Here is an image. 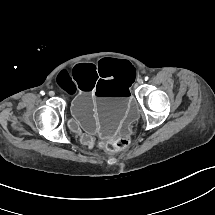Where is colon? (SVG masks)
<instances>
[{"mask_svg": "<svg viewBox=\"0 0 215 215\" xmlns=\"http://www.w3.org/2000/svg\"><path fill=\"white\" fill-rule=\"evenodd\" d=\"M128 141L124 138H114L108 141H101L100 147L107 151H118L128 146Z\"/></svg>", "mask_w": 215, "mask_h": 215, "instance_id": "obj_1", "label": "colon"}]
</instances>
